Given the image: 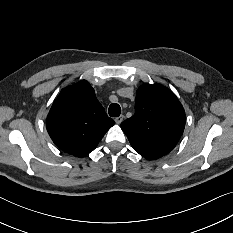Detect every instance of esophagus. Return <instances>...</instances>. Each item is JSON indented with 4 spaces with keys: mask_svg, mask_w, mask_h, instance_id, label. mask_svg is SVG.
I'll return each mask as SVG.
<instances>
[{
    "mask_svg": "<svg viewBox=\"0 0 233 233\" xmlns=\"http://www.w3.org/2000/svg\"><path fill=\"white\" fill-rule=\"evenodd\" d=\"M123 119H124V115H120V116L115 118V122L117 124H120L123 121Z\"/></svg>",
    "mask_w": 233,
    "mask_h": 233,
    "instance_id": "obj_1",
    "label": "esophagus"
}]
</instances>
